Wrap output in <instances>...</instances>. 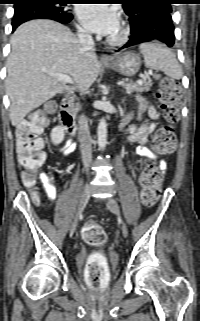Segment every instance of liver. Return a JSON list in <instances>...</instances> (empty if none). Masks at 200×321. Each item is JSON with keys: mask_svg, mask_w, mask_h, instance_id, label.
<instances>
[{"mask_svg": "<svg viewBox=\"0 0 200 321\" xmlns=\"http://www.w3.org/2000/svg\"><path fill=\"white\" fill-rule=\"evenodd\" d=\"M99 68L95 52L84 50L67 27L45 19L22 24L11 37L7 59L5 84L12 125H20L28 113L56 94L72 93L75 87L88 89ZM49 72L68 75L75 86L61 83Z\"/></svg>", "mask_w": 200, "mask_h": 321, "instance_id": "6515ba94", "label": "liver"}]
</instances>
